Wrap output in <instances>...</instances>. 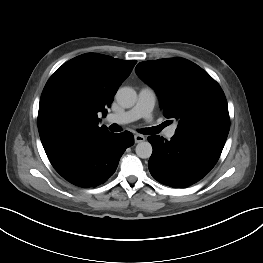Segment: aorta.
<instances>
[{
  "instance_id": "1",
  "label": "aorta",
  "mask_w": 263,
  "mask_h": 263,
  "mask_svg": "<svg viewBox=\"0 0 263 263\" xmlns=\"http://www.w3.org/2000/svg\"><path fill=\"white\" fill-rule=\"evenodd\" d=\"M117 102L124 108L134 106L137 101L136 91L130 87H122L116 93ZM136 154L142 159L150 158L152 155V145L147 141L139 142L135 148Z\"/></svg>"
}]
</instances>
